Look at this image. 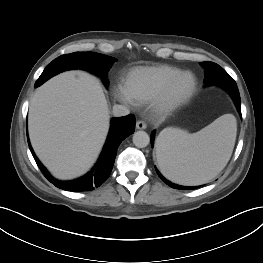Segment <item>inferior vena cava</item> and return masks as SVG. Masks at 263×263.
<instances>
[{"label": "inferior vena cava", "instance_id": "inferior-vena-cava-1", "mask_svg": "<svg viewBox=\"0 0 263 263\" xmlns=\"http://www.w3.org/2000/svg\"><path fill=\"white\" fill-rule=\"evenodd\" d=\"M112 113L115 117L126 116L129 114V109L124 105H114Z\"/></svg>", "mask_w": 263, "mask_h": 263}]
</instances>
